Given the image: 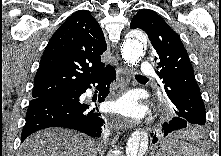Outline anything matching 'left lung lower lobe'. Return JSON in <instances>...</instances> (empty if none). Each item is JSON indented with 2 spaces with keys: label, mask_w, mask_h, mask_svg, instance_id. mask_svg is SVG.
Returning <instances> with one entry per match:
<instances>
[{
  "label": "left lung lower lobe",
  "mask_w": 221,
  "mask_h": 156,
  "mask_svg": "<svg viewBox=\"0 0 221 156\" xmlns=\"http://www.w3.org/2000/svg\"><path fill=\"white\" fill-rule=\"evenodd\" d=\"M189 122L186 121L183 118L180 117H173L169 122H165L162 126V131L164 133V136H167L168 133H171L172 131H176L182 128H186L187 126H189ZM158 141V138L156 137V135L153 137V144L156 143Z\"/></svg>",
  "instance_id": "1"
}]
</instances>
